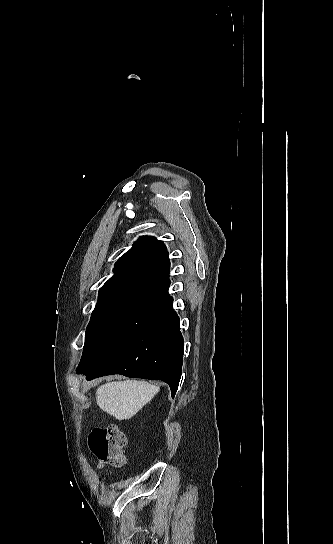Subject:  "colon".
Listing matches in <instances>:
<instances>
[{
    "label": "colon",
    "instance_id": "colon-1",
    "mask_svg": "<svg viewBox=\"0 0 333 544\" xmlns=\"http://www.w3.org/2000/svg\"><path fill=\"white\" fill-rule=\"evenodd\" d=\"M125 445V434L116 426L97 428L89 435V448L103 465L123 466Z\"/></svg>",
    "mask_w": 333,
    "mask_h": 544
}]
</instances>
